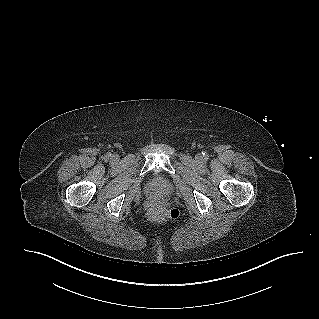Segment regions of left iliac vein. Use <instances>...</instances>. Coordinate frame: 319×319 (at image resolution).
Instances as JSON below:
<instances>
[{
    "instance_id": "1",
    "label": "left iliac vein",
    "mask_w": 319,
    "mask_h": 319,
    "mask_svg": "<svg viewBox=\"0 0 319 319\" xmlns=\"http://www.w3.org/2000/svg\"><path fill=\"white\" fill-rule=\"evenodd\" d=\"M196 159H197L198 161H200V160H201V156H197Z\"/></svg>"
}]
</instances>
